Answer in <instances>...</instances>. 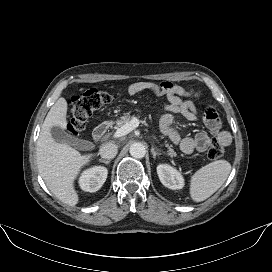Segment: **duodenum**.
<instances>
[{
	"label": "duodenum",
	"instance_id": "duodenum-1",
	"mask_svg": "<svg viewBox=\"0 0 272 272\" xmlns=\"http://www.w3.org/2000/svg\"><path fill=\"white\" fill-rule=\"evenodd\" d=\"M111 124L109 122H104L99 124L93 131V138L96 142L103 140L110 128Z\"/></svg>",
	"mask_w": 272,
	"mask_h": 272
}]
</instances>
